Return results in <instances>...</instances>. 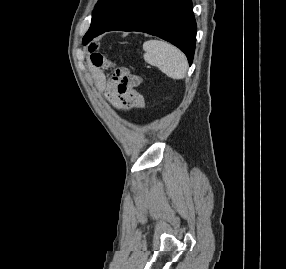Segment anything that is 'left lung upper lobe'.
Listing matches in <instances>:
<instances>
[{
  "label": "left lung upper lobe",
  "instance_id": "1",
  "mask_svg": "<svg viewBox=\"0 0 286 269\" xmlns=\"http://www.w3.org/2000/svg\"><path fill=\"white\" fill-rule=\"evenodd\" d=\"M143 0H98L92 13L91 26L83 38L90 42L102 29L115 24Z\"/></svg>",
  "mask_w": 286,
  "mask_h": 269
}]
</instances>
